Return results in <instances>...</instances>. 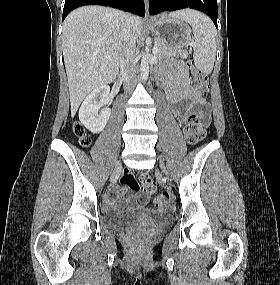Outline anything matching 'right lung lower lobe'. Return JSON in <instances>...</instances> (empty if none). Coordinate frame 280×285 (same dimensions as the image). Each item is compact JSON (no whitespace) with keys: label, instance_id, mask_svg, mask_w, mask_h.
Returning <instances> with one entry per match:
<instances>
[{"label":"right lung lower lobe","instance_id":"right-lung-lower-lobe-1","mask_svg":"<svg viewBox=\"0 0 280 285\" xmlns=\"http://www.w3.org/2000/svg\"><path fill=\"white\" fill-rule=\"evenodd\" d=\"M83 5H103L145 16L143 0H65L62 20L75 8Z\"/></svg>","mask_w":280,"mask_h":285}]
</instances>
